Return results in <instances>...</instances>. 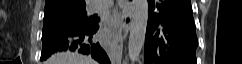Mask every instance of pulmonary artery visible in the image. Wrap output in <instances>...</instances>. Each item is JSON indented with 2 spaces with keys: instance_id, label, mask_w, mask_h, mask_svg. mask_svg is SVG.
<instances>
[{
  "instance_id": "1",
  "label": "pulmonary artery",
  "mask_w": 242,
  "mask_h": 64,
  "mask_svg": "<svg viewBox=\"0 0 242 64\" xmlns=\"http://www.w3.org/2000/svg\"><path fill=\"white\" fill-rule=\"evenodd\" d=\"M110 5H111V1L97 0L91 6V10L95 12H100L110 7Z\"/></svg>"
}]
</instances>
